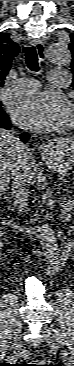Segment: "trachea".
<instances>
[{
    "label": "trachea",
    "mask_w": 74,
    "mask_h": 366,
    "mask_svg": "<svg viewBox=\"0 0 74 366\" xmlns=\"http://www.w3.org/2000/svg\"><path fill=\"white\" fill-rule=\"evenodd\" d=\"M25 62L29 70L31 71H39V65H38V56L37 51L34 46L26 47L25 50Z\"/></svg>",
    "instance_id": "trachea-1"
}]
</instances>
